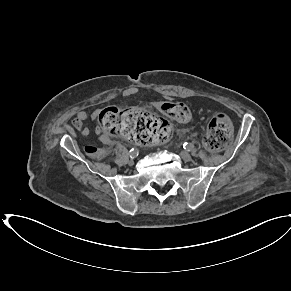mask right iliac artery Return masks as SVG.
Segmentation results:
<instances>
[{
  "mask_svg": "<svg viewBox=\"0 0 291 291\" xmlns=\"http://www.w3.org/2000/svg\"><path fill=\"white\" fill-rule=\"evenodd\" d=\"M138 153H139L138 149H134V148H132V149L130 150V157H131V158H135V157L138 155Z\"/></svg>",
  "mask_w": 291,
  "mask_h": 291,
  "instance_id": "1",
  "label": "right iliac artery"
}]
</instances>
